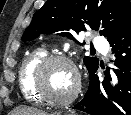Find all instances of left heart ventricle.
I'll return each instance as SVG.
<instances>
[{
    "instance_id": "1",
    "label": "left heart ventricle",
    "mask_w": 131,
    "mask_h": 115,
    "mask_svg": "<svg viewBox=\"0 0 131 115\" xmlns=\"http://www.w3.org/2000/svg\"><path fill=\"white\" fill-rule=\"evenodd\" d=\"M75 85L72 69L65 63L51 65L45 74V89L54 98H66Z\"/></svg>"
}]
</instances>
